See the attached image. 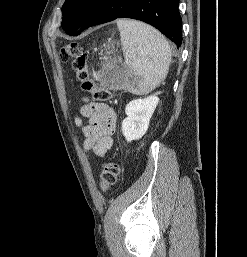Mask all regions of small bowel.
Instances as JSON below:
<instances>
[{
	"label": "small bowel",
	"mask_w": 247,
	"mask_h": 257,
	"mask_svg": "<svg viewBox=\"0 0 247 257\" xmlns=\"http://www.w3.org/2000/svg\"><path fill=\"white\" fill-rule=\"evenodd\" d=\"M81 114L88 120L87 125H83L81 119L76 120L85 136L84 150L105 157L113 145L112 136L116 130L117 120L115 110L109 105L85 100Z\"/></svg>",
	"instance_id": "c3829d8e"
}]
</instances>
